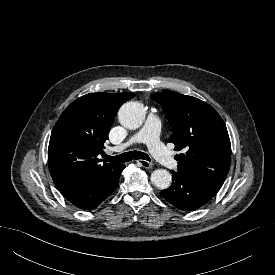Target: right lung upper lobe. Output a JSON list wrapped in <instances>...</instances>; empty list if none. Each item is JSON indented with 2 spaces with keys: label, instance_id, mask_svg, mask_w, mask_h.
Segmentation results:
<instances>
[{
  "label": "right lung upper lobe",
  "instance_id": "right-lung-upper-lobe-1",
  "mask_svg": "<svg viewBox=\"0 0 275 275\" xmlns=\"http://www.w3.org/2000/svg\"><path fill=\"white\" fill-rule=\"evenodd\" d=\"M135 93H90L71 103L55 124L48 147L52 179L60 191L86 184L118 164L97 156L120 106Z\"/></svg>",
  "mask_w": 275,
  "mask_h": 275
}]
</instances>
